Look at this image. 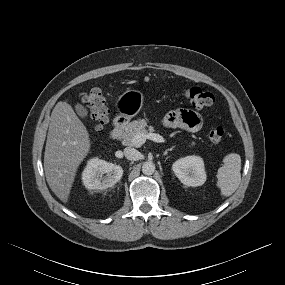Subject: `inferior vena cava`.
Returning <instances> with one entry per match:
<instances>
[{"label":"inferior vena cava","mask_w":285,"mask_h":285,"mask_svg":"<svg viewBox=\"0 0 285 285\" xmlns=\"http://www.w3.org/2000/svg\"><path fill=\"white\" fill-rule=\"evenodd\" d=\"M124 155L128 160H138L139 152L131 147H126L124 149Z\"/></svg>","instance_id":"1"}]
</instances>
